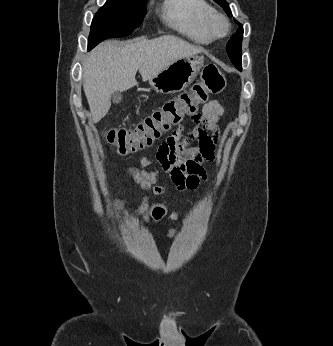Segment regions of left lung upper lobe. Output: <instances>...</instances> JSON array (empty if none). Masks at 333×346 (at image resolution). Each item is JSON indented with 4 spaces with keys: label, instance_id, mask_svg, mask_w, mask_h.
Wrapping results in <instances>:
<instances>
[{
    "label": "left lung upper lobe",
    "instance_id": "1",
    "mask_svg": "<svg viewBox=\"0 0 333 346\" xmlns=\"http://www.w3.org/2000/svg\"><path fill=\"white\" fill-rule=\"evenodd\" d=\"M220 6L224 8L226 13L232 17L231 10L228 3L225 0H214ZM238 23V22H237ZM239 24L236 33L231 37L230 41L227 43L226 50L230 57V60L235 65L236 68L241 69V56H242V39H243V26Z\"/></svg>",
    "mask_w": 333,
    "mask_h": 346
}]
</instances>
